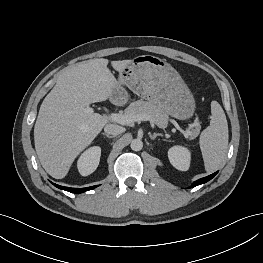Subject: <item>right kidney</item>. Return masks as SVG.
Masks as SVG:
<instances>
[{"label": "right kidney", "instance_id": "right-kidney-1", "mask_svg": "<svg viewBox=\"0 0 263 263\" xmlns=\"http://www.w3.org/2000/svg\"><path fill=\"white\" fill-rule=\"evenodd\" d=\"M100 156L101 148L99 146H93L82 153L77 162L79 173L82 176L93 173L99 165Z\"/></svg>", "mask_w": 263, "mask_h": 263}]
</instances>
